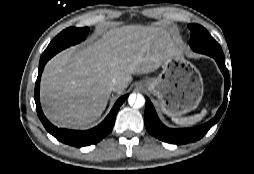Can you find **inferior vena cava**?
I'll return each mask as SVG.
<instances>
[{
	"instance_id": "inferior-vena-cava-1",
	"label": "inferior vena cava",
	"mask_w": 254,
	"mask_h": 174,
	"mask_svg": "<svg viewBox=\"0 0 254 174\" xmlns=\"http://www.w3.org/2000/svg\"><path fill=\"white\" fill-rule=\"evenodd\" d=\"M118 86H119V82L116 79H112V81L110 82V88L112 90H115Z\"/></svg>"
}]
</instances>
